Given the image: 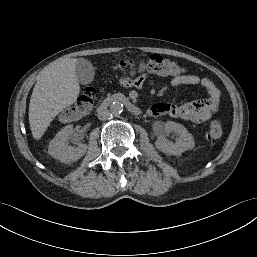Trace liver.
I'll return each instance as SVG.
<instances>
[{"label":"liver","mask_w":257,"mask_h":257,"mask_svg":"<svg viewBox=\"0 0 257 257\" xmlns=\"http://www.w3.org/2000/svg\"><path fill=\"white\" fill-rule=\"evenodd\" d=\"M77 60H56L38 75L29 104V124L34 139L40 140L51 121L77 100L80 93L75 72Z\"/></svg>","instance_id":"liver-1"}]
</instances>
